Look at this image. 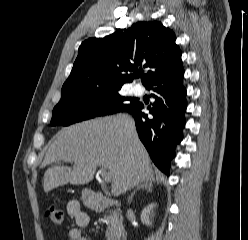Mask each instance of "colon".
I'll return each instance as SVG.
<instances>
[{"label":"colon","mask_w":248,"mask_h":240,"mask_svg":"<svg viewBox=\"0 0 248 240\" xmlns=\"http://www.w3.org/2000/svg\"><path fill=\"white\" fill-rule=\"evenodd\" d=\"M44 215L48 221L55 225H61L64 220V213L61 209L55 206H48L45 209Z\"/></svg>","instance_id":"5ec220e1"}]
</instances>
